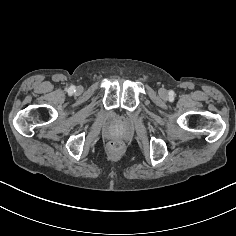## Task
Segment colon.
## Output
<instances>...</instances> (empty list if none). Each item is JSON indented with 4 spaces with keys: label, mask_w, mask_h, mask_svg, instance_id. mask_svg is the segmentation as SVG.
I'll use <instances>...</instances> for the list:
<instances>
[{
    "label": "colon",
    "mask_w": 236,
    "mask_h": 236,
    "mask_svg": "<svg viewBox=\"0 0 236 236\" xmlns=\"http://www.w3.org/2000/svg\"><path fill=\"white\" fill-rule=\"evenodd\" d=\"M111 147L117 149L120 147V143L119 142H112Z\"/></svg>",
    "instance_id": "5ec220e1"
}]
</instances>
